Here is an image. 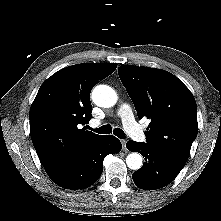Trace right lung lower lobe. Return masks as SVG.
<instances>
[{
  "mask_svg": "<svg viewBox=\"0 0 221 221\" xmlns=\"http://www.w3.org/2000/svg\"><path fill=\"white\" fill-rule=\"evenodd\" d=\"M121 148L122 145L115 136H103L49 176L57 185L65 189L87 188L101 176L104 158L108 154L120 152Z\"/></svg>",
  "mask_w": 221,
  "mask_h": 221,
  "instance_id": "obj_1",
  "label": "right lung lower lobe"
}]
</instances>
